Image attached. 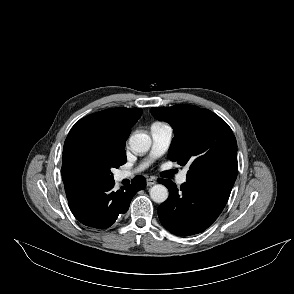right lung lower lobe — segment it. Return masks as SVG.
Wrapping results in <instances>:
<instances>
[{
  "label": "right lung lower lobe",
  "instance_id": "1",
  "mask_svg": "<svg viewBox=\"0 0 294 294\" xmlns=\"http://www.w3.org/2000/svg\"><path fill=\"white\" fill-rule=\"evenodd\" d=\"M114 179L90 186H65L68 205L82 224L98 229L110 227L127 212L133 196L146 187V179L137 176L131 185L114 191Z\"/></svg>",
  "mask_w": 294,
  "mask_h": 294
}]
</instances>
